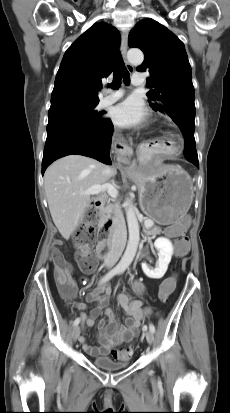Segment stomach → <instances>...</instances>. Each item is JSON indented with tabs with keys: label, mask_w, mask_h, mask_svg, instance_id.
Listing matches in <instances>:
<instances>
[{
	"label": "stomach",
	"mask_w": 230,
	"mask_h": 413,
	"mask_svg": "<svg viewBox=\"0 0 230 413\" xmlns=\"http://www.w3.org/2000/svg\"><path fill=\"white\" fill-rule=\"evenodd\" d=\"M135 182L142 211L160 225L172 224L190 208L193 199L191 178L177 166L141 169Z\"/></svg>",
	"instance_id": "stomach-1"
}]
</instances>
